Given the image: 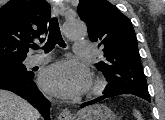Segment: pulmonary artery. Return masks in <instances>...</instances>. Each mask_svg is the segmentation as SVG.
I'll return each instance as SVG.
<instances>
[{
	"instance_id": "obj_1",
	"label": "pulmonary artery",
	"mask_w": 165,
	"mask_h": 120,
	"mask_svg": "<svg viewBox=\"0 0 165 120\" xmlns=\"http://www.w3.org/2000/svg\"><path fill=\"white\" fill-rule=\"evenodd\" d=\"M74 52L79 56H87L91 53V45L86 41L77 42L74 47ZM50 58L51 56L49 54L32 55L27 59V64L29 66H35L49 61Z\"/></svg>"
}]
</instances>
